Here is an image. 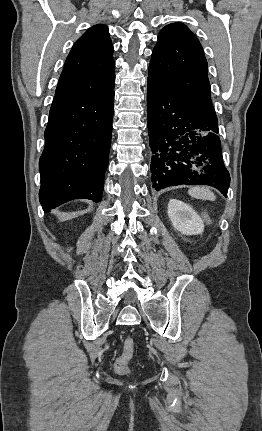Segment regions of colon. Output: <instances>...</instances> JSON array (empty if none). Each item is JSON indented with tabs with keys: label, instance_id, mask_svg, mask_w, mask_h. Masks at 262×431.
I'll return each mask as SVG.
<instances>
[{
	"label": "colon",
	"instance_id": "1",
	"mask_svg": "<svg viewBox=\"0 0 262 431\" xmlns=\"http://www.w3.org/2000/svg\"><path fill=\"white\" fill-rule=\"evenodd\" d=\"M135 340L133 337H127L124 341L123 351L115 361V371L120 375L129 373V362L133 357Z\"/></svg>",
	"mask_w": 262,
	"mask_h": 431
}]
</instances>
